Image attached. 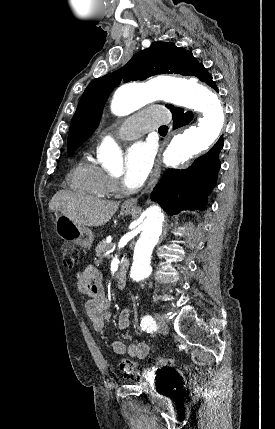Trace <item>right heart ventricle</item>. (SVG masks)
I'll return each instance as SVG.
<instances>
[{"label":"right heart ventricle","instance_id":"obj_1","mask_svg":"<svg viewBox=\"0 0 275 429\" xmlns=\"http://www.w3.org/2000/svg\"><path fill=\"white\" fill-rule=\"evenodd\" d=\"M69 184L73 190L95 198H106L113 190L109 174L91 155L73 168Z\"/></svg>","mask_w":275,"mask_h":429}]
</instances>
